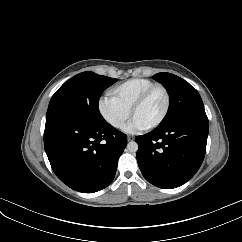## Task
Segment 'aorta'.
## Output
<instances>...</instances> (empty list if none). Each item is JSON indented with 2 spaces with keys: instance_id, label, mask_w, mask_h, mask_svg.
Listing matches in <instances>:
<instances>
[{
  "instance_id": "obj_1",
  "label": "aorta",
  "mask_w": 242,
  "mask_h": 242,
  "mask_svg": "<svg viewBox=\"0 0 242 242\" xmlns=\"http://www.w3.org/2000/svg\"><path fill=\"white\" fill-rule=\"evenodd\" d=\"M127 150L129 152H136L138 150V144L135 141L129 142L127 144Z\"/></svg>"
}]
</instances>
